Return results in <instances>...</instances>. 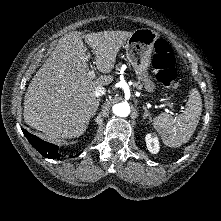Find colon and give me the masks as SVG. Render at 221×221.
I'll return each mask as SVG.
<instances>
[{
    "label": "colon",
    "instance_id": "obj_1",
    "mask_svg": "<svg viewBox=\"0 0 221 221\" xmlns=\"http://www.w3.org/2000/svg\"><path fill=\"white\" fill-rule=\"evenodd\" d=\"M153 66L157 80L171 91L178 87L176 81L175 57L170 44L164 39H158L154 45Z\"/></svg>",
    "mask_w": 221,
    "mask_h": 221
}]
</instances>
